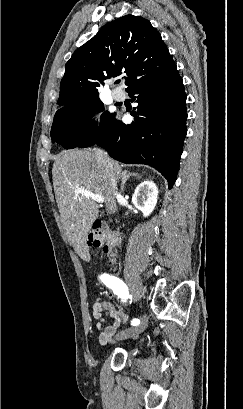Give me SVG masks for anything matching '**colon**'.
Masks as SVG:
<instances>
[{
  "mask_svg": "<svg viewBox=\"0 0 243 409\" xmlns=\"http://www.w3.org/2000/svg\"><path fill=\"white\" fill-rule=\"evenodd\" d=\"M87 243L91 247L103 248L105 253L111 255L110 263H112L114 250L119 246L120 238L116 234L108 233L100 222H95L90 228Z\"/></svg>",
  "mask_w": 243,
  "mask_h": 409,
  "instance_id": "1",
  "label": "colon"
}]
</instances>
